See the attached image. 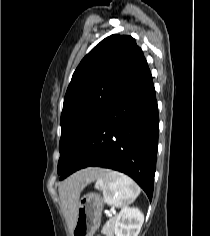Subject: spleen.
I'll use <instances>...</instances> for the list:
<instances>
[{
	"label": "spleen",
	"mask_w": 210,
	"mask_h": 236,
	"mask_svg": "<svg viewBox=\"0 0 210 236\" xmlns=\"http://www.w3.org/2000/svg\"><path fill=\"white\" fill-rule=\"evenodd\" d=\"M96 189L103 192L104 201L116 207L131 204L140 194L138 185L127 175L105 170L97 178Z\"/></svg>",
	"instance_id": "1"
}]
</instances>
